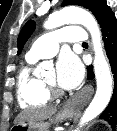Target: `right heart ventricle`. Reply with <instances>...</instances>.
Instances as JSON below:
<instances>
[{"mask_svg":"<svg viewBox=\"0 0 117 131\" xmlns=\"http://www.w3.org/2000/svg\"><path fill=\"white\" fill-rule=\"evenodd\" d=\"M36 61L26 58V64L17 77V97L23 108L42 107L50 101V93L43 80L33 73L32 66Z\"/></svg>","mask_w":117,"mask_h":131,"instance_id":"obj_1","label":"right heart ventricle"}]
</instances>
